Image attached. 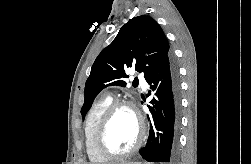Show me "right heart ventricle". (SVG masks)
<instances>
[{"mask_svg":"<svg viewBox=\"0 0 251 164\" xmlns=\"http://www.w3.org/2000/svg\"><path fill=\"white\" fill-rule=\"evenodd\" d=\"M112 102L111 97L106 96L96 101L90 108L85 121H84V143L85 150L88 159L93 163H102L106 161V158L101 156L95 149L94 137L98 122L106 110V108Z\"/></svg>","mask_w":251,"mask_h":164,"instance_id":"obj_1","label":"right heart ventricle"}]
</instances>
